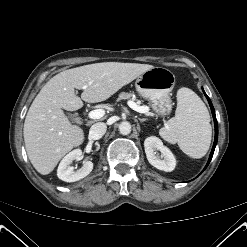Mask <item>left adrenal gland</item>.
<instances>
[{
  "mask_svg": "<svg viewBox=\"0 0 247 247\" xmlns=\"http://www.w3.org/2000/svg\"><path fill=\"white\" fill-rule=\"evenodd\" d=\"M138 120H139L140 122L147 121V119H146V118H138Z\"/></svg>",
  "mask_w": 247,
  "mask_h": 247,
  "instance_id": "obj_1",
  "label": "left adrenal gland"
}]
</instances>
